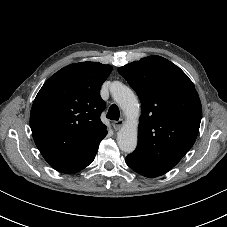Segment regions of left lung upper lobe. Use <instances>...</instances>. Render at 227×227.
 Instances as JSON below:
<instances>
[{
  "instance_id": "1",
  "label": "left lung upper lobe",
  "mask_w": 227,
  "mask_h": 227,
  "mask_svg": "<svg viewBox=\"0 0 227 227\" xmlns=\"http://www.w3.org/2000/svg\"><path fill=\"white\" fill-rule=\"evenodd\" d=\"M142 104L137 148L130 155L171 169L193 146L202 107L192 81L175 64L149 56L119 67Z\"/></svg>"
}]
</instances>
